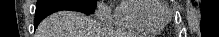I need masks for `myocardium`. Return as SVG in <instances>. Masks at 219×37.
Wrapping results in <instances>:
<instances>
[{"label":"myocardium","instance_id":"f54148a6","mask_svg":"<svg viewBox=\"0 0 219 37\" xmlns=\"http://www.w3.org/2000/svg\"><path fill=\"white\" fill-rule=\"evenodd\" d=\"M154 18L161 23H166L170 19V12L163 5L153 14Z\"/></svg>","mask_w":219,"mask_h":37}]
</instances>
